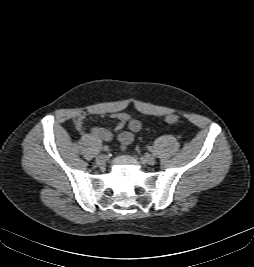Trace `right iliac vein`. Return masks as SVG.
<instances>
[{"label":"right iliac vein","instance_id":"63e3f726","mask_svg":"<svg viewBox=\"0 0 254 267\" xmlns=\"http://www.w3.org/2000/svg\"><path fill=\"white\" fill-rule=\"evenodd\" d=\"M106 160H107L106 155H104V154H100V155L97 156V158H96V163H97L98 165H103V164H105Z\"/></svg>","mask_w":254,"mask_h":267}]
</instances>
